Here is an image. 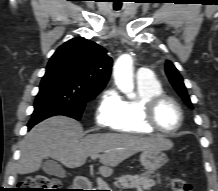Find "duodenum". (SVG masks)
Instances as JSON below:
<instances>
[{
  "label": "duodenum",
  "mask_w": 218,
  "mask_h": 191,
  "mask_svg": "<svg viewBox=\"0 0 218 191\" xmlns=\"http://www.w3.org/2000/svg\"><path fill=\"white\" fill-rule=\"evenodd\" d=\"M75 190L74 191H89L91 187V182L88 178L84 176H79L74 183Z\"/></svg>",
  "instance_id": "410a0bca"
}]
</instances>
